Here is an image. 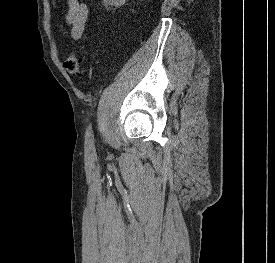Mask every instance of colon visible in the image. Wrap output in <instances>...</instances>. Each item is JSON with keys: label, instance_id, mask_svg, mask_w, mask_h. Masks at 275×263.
Masks as SVG:
<instances>
[{"label": "colon", "instance_id": "1", "mask_svg": "<svg viewBox=\"0 0 275 263\" xmlns=\"http://www.w3.org/2000/svg\"><path fill=\"white\" fill-rule=\"evenodd\" d=\"M65 70L78 79L83 78L84 68L82 58L77 53H70L64 60Z\"/></svg>", "mask_w": 275, "mask_h": 263}]
</instances>
